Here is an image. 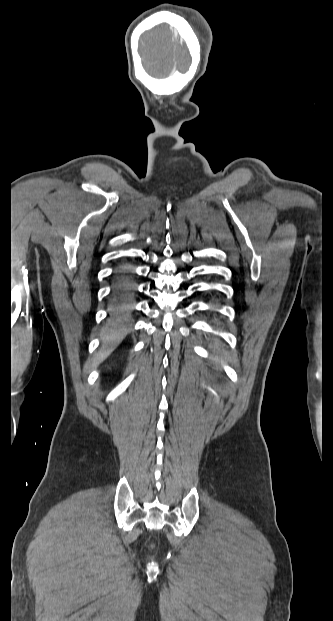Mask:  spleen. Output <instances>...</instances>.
I'll list each match as a JSON object with an SVG mask.
<instances>
[{"label":"spleen","mask_w":333,"mask_h":621,"mask_svg":"<svg viewBox=\"0 0 333 621\" xmlns=\"http://www.w3.org/2000/svg\"><path fill=\"white\" fill-rule=\"evenodd\" d=\"M223 352H225V351L223 350ZM223 361H224V362H228V358H227V357H226V358H224V359H223Z\"/></svg>","instance_id":"1"}]
</instances>
